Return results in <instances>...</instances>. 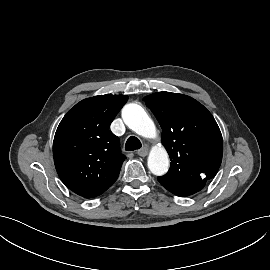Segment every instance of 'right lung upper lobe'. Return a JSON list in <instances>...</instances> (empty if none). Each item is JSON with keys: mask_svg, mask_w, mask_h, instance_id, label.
I'll use <instances>...</instances> for the list:
<instances>
[{"mask_svg": "<svg viewBox=\"0 0 270 270\" xmlns=\"http://www.w3.org/2000/svg\"><path fill=\"white\" fill-rule=\"evenodd\" d=\"M128 97L99 95L77 103L60 122L53 158L62 182L91 198L105 192L118 178L125 156L109 126Z\"/></svg>", "mask_w": 270, "mask_h": 270, "instance_id": "1", "label": "right lung upper lobe"}]
</instances>
